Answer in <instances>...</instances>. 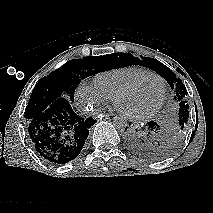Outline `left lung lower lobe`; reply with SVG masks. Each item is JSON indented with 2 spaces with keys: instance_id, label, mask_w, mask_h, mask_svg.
<instances>
[{
  "instance_id": "left-lung-lower-lobe-1",
  "label": "left lung lower lobe",
  "mask_w": 213,
  "mask_h": 213,
  "mask_svg": "<svg viewBox=\"0 0 213 213\" xmlns=\"http://www.w3.org/2000/svg\"><path fill=\"white\" fill-rule=\"evenodd\" d=\"M164 132L155 121L147 122L144 126L125 129V140L128 147L137 155L145 158H157V145Z\"/></svg>"
}]
</instances>
